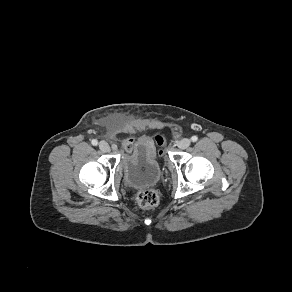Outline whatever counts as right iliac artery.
Here are the masks:
<instances>
[{
  "label": "right iliac artery",
  "mask_w": 292,
  "mask_h": 292,
  "mask_svg": "<svg viewBox=\"0 0 292 292\" xmlns=\"http://www.w3.org/2000/svg\"><path fill=\"white\" fill-rule=\"evenodd\" d=\"M91 143H92V145L96 146V145L98 144V141H97L96 139H93V140L91 141Z\"/></svg>",
  "instance_id": "obj_1"
}]
</instances>
